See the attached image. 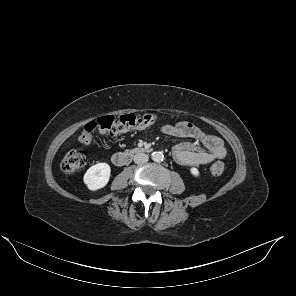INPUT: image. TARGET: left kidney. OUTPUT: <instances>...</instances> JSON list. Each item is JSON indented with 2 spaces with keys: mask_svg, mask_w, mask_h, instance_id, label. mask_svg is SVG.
I'll return each instance as SVG.
<instances>
[{
  "mask_svg": "<svg viewBox=\"0 0 296 296\" xmlns=\"http://www.w3.org/2000/svg\"><path fill=\"white\" fill-rule=\"evenodd\" d=\"M190 173L194 176V177H198L200 175L199 171L197 168H191L190 169Z\"/></svg>",
  "mask_w": 296,
  "mask_h": 296,
  "instance_id": "1",
  "label": "left kidney"
}]
</instances>
